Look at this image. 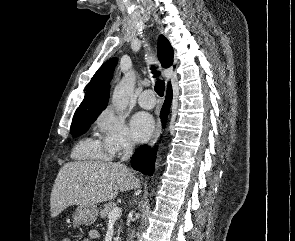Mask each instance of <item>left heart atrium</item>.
Wrapping results in <instances>:
<instances>
[{"label": "left heart atrium", "mask_w": 295, "mask_h": 241, "mask_svg": "<svg viewBox=\"0 0 295 241\" xmlns=\"http://www.w3.org/2000/svg\"><path fill=\"white\" fill-rule=\"evenodd\" d=\"M130 126L133 138L137 142H144L151 136L155 123L150 114L138 112L132 117Z\"/></svg>", "instance_id": "left-heart-atrium-1"}]
</instances>
